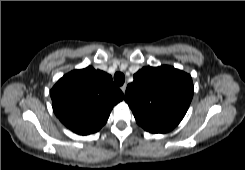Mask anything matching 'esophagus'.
<instances>
[{
    "mask_svg": "<svg viewBox=\"0 0 245 170\" xmlns=\"http://www.w3.org/2000/svg\"><path fill=\"white\" fill-rule=\"evenodd\" d=\"M126 87H127L126 84H124L123 86H121V90H122L123 94H125Z\"/></svg>",
    "mask_w": 245,
    "mask_h": 170,
    "instance_id": "obj_1",
    "label": "esophagus"
}]
</instances>
